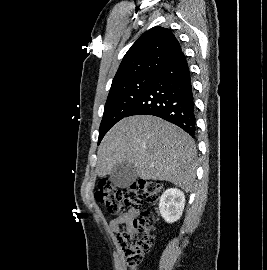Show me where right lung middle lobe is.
<instances>
[{
  "label": "right lung middle lobe",
  "mask_w": 267,
  "mask_h": 270,
  "mask_svg": "<svg viewBox=\"0 0 267 270\" xmlns=\"http://www.w3.org/2000/svg\"><path fill=\"white\" fill-rule=\"evenodd\" d=\"M154 75H141L110 89L99 128L98 144L107 131L127 116L150 86Z\"/></svg>",
  "instance_id": "dd1d6c3e"
}]
</instances>
